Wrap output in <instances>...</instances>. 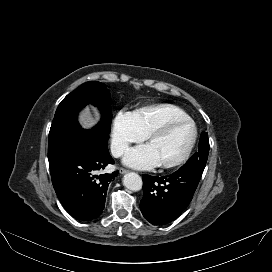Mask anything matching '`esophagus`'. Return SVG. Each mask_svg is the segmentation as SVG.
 <instances>
[{"label":"esophagus","mask_w":272,"mask_h":272,"mask_svg":"<svg viewBox=\"0 0 272 272\" xmlns=\"http://www.w3.org/2000/svg\"><path fill=\"white\" fill-rule=\"evenodd\" d=\"M129 172V170H127V169H125V168H120L119 169V173L120 174H126V173H128Z\"/></svg>","instance_id":"1"}]
</instances>
